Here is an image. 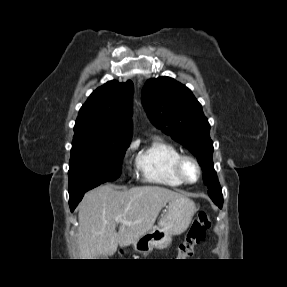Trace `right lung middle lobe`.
<instances>
[{"mask_svg": "<svg viewBox=\"0 0 287 287\" xmlns=\"http://www.w3.org/2000/svg\"><path fill=\"white\" fill-rule=\"evenodd\" d=\"M130 140L98 138L86 131L75 132L69 163V194L92 184L114 181Z\"/></svg>", "mask_w": 287, "mask_h": 287, "instance_id": "dd1d6c3e", "label": "right lung middle lobe"}]
</instances>
